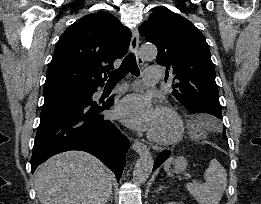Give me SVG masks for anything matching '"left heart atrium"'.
Masks as SVG:
<instances>
[{
	"label": "left heart atrium",
	"instance_id": "1",
	"mask_svg": "<svg viewBox=\"0 0 261 204\" xmlns=\"http://www.w3.org/2000/svg\"><path fill=\"white\" fill-rule=\"evenodd\" d=\"M157 109L151 99L142 94H130L124 97L116 106V117L129 127L150 131L154 125Z\"/></svg>",
	"mask_w": 261,
	"mask_h": 204
}]
</instances>
